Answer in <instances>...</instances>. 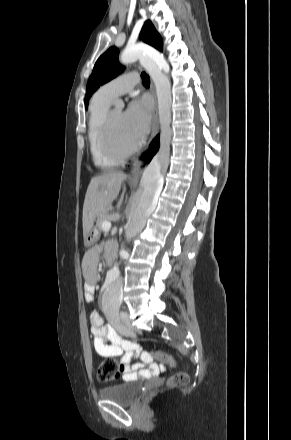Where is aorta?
Listing matches in <instances>:
<instances>
[{
    "label": "aorta",
    "instance_id": "762f6f07",
    "mask_svg": "<svg viewBox=\"0 0 291 440\" xmlns=\"http://www.w3.org/2000/svg\"><path fill=\"white\" fill-rule=\"evenodd\" d=\"M144 57H149L165 73L169 72L170 68L164 56L145 44H136L125 48L119 60L122 64L127 65ZM123 108L124 102L117 99L114 103V109L121 111ZM163 168L164 163L158 153L143 171L137 200L126 225L125 235L128 242L143 230L148 217L156 207L163 187ZM122 293V278L116 271H113L105 284L103 300L112 305H118L122 300Z\"/></svg>",
    "mask_w": 291,
    "mask_h": 440
}]
</instances>
